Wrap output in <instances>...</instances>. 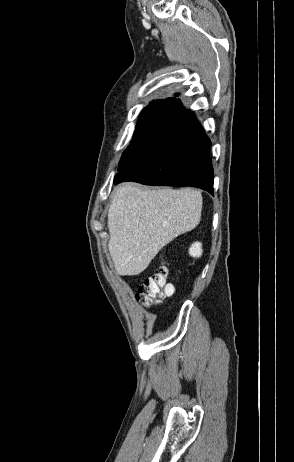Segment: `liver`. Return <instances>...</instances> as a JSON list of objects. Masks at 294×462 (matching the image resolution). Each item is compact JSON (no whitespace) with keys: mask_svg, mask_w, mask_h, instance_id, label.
Listing matches in <instances>:
<instances>
[{"mask_svg":"<svg viewBox=\"0 0 294 462\" xmlns=\"http://www.w3.org/2000/svg\"><path fill=\"white\" fill-rule=\"evenodd\" d=\"M201 210V192L192 188L118 187L108 211V248L117 273L143 272L165 245L199 224Z\"/></svg>","mask_w":294,"mask_h":462,"instance_id":"6515ba94","label":"liver"}]
</instances>
